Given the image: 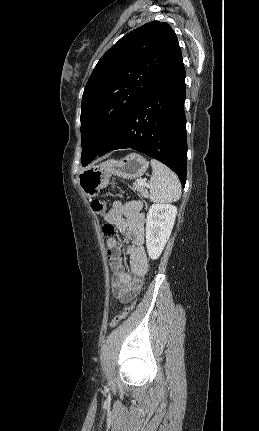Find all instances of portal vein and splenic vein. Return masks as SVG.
<instances>
[{
  "instance_id": "1",
  "label": "portal vein and splenic vein",
  "mask_w": 259,
  "mask_h": 431,
  "mask_svg": "<svg viewBox=\"0 0 259 431\" xmlns=\"http://www.w3.org/2000/svg\"><path fill=\"white\" fill-rule=\"evenodd\" d=\"M138 182L140 183V184H145L146 185V181L145 180H143V179H140V180H138Z\"/></svg>"
}]
</instances>
